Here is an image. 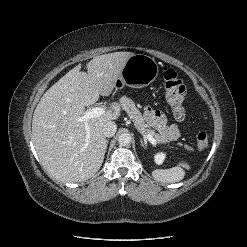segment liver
I'll list each match as a JSON object with an SVG mask.
<instances>
[{
	"label": "liver",
	"instance_id": "6515ba94",
	"mask_svg": "<svg viewBox=\"0 0 247 247\" xmlns=\"http://www.w3.org/2000/svg\"><path fill=\"white\" fill-rule=\"evenodd\" d=\"M134 53L113 52L94 57L87 73L77 65L51 86L38 103L32 120V141L45 169L63 182H81L91 178L101 167L106 139L103 126L118 119L119 103H112L99 117L87 124L77 119L85 107L96 103L99 96H110L122 69Z\"/></svg>",
	"mask_w": 247,
	"mask_h": 247
}]
</instances>
